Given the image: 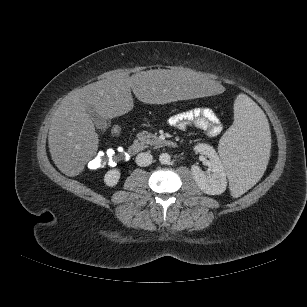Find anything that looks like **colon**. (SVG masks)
I'll return each mask as SVG.
<instances>
[{"instance_id": "5ec220e1", "label": "colon", "mask_w": 307, "mask_h": 307, "mask_svg": "<svg viewBox=\"0 0 307 307\" xmlns=\"http://www.w3.org/2000/svg\"><path fill=\"white\" fill-rule=\"evenodd\" d=\"M122 128L115 125L111 129V135L114 137L120 136ZM125 155V148L117 147L96 153L89 161L88 166L92 170H97L105 166H113L120 161Z\"/></svg>"}]
</instances>
